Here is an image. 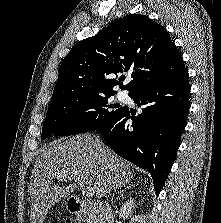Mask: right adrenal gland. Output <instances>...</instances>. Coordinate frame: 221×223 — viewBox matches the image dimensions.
Wrapping results in <instances>:
<instances>
[{"mask_svg": "<svg viewBox=\"0 0 221 223\" xmlns=\"http://www.w3.org/2000/svg\"><path fill=\"white\" fill-rule=\"evenodd\" d=\"M131 186H133V185H131V184H129V185H124V186L122 187V190L119 189L117 192H114V193H113V195H112V197H111V201H112V205H113V206H114V202H113V200H114L115 195H117V194H119V193H121V192L127 190V189L130 188Z\"/></svg>", "mask_w": 221, "mask_h": 223, "instance_id": "obj_1", "label": "right adrenal gland"}]
</instances>
